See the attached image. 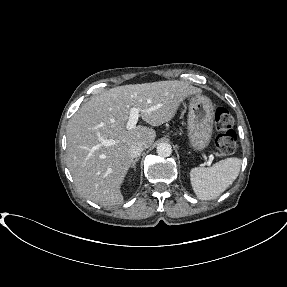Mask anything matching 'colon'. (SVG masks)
Here are the masks:
<instances>
[{
	"label": "colon",
	"mask_w": 287,
	"mask_h": 287,
	"mask_svg": "<svg viewBox=\"0 0 287 287\" xmlns=\"http://www.w3.org/2000/svg\"><path fill=\"white\" fill-rule=\"evenodd\" d=\"M233 117L230 112L222 106L215 110V124L219 131L216 136V146L223 155H231L237 147V135L232 129Z\"/></svg>",
	"instance_id": "1"
}]
</instances>
